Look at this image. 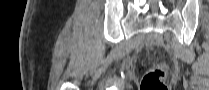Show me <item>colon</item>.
Instances as JSON below:
<instances>
[{
    "instance_id": "1",
    "label": "colon",
    "mask_w": 209,
    "mask_h": 90,
    "mask_svg": "<svg viewBox=\"0 0 209 90\" xmlns=\"http://www.w3.org/2000/svg\"><path fill=\"white\" fill-rule=\"evenodd\" d=\"M167 75V66L159 64L147 72L141 81V90H169L165 79Z\"/></svg>"
}]
</instances>
